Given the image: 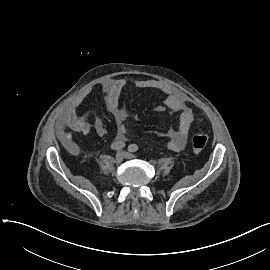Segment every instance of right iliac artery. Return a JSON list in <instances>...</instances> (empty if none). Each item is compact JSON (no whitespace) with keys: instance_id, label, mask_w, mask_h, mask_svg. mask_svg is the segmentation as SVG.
<instances>
[{"instance_id":"right-iliac-artery-1","label":"right iliac artery","mask_w":270,"mask_h":270,"mask_svg":"<svg viewBox=\"0 0 270 270\" xmlns=\"http://www.w3.org/2000/svg\"><path fill=\"white\" fill-rule=\"evenodd\" d=\"M125 147V143L122 141H116L111 144L112 150H121Z\"/></svg>"}]
</instances>
